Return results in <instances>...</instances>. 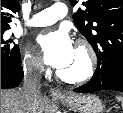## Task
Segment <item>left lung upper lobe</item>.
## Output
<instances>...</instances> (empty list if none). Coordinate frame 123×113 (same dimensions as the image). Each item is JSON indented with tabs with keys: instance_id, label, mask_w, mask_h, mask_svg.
Masks as SVG:
<instances>
[{
	"instance_id": "5c2ea615",
	"label": "left lung upper lobe",
	"mask_w": 123,
	"mask_h": 113,
	"mask_svg": "<svg viewBox=\"0 0 123 113\" xmlns=\"http://www.w3.org/2000/svg\"><path fill=\"white\" fill-rule=\"evenodd\" d=\"M74 6L76 0H70ZM73 20L93 47L99 71H110L114 61L123 59V0H86Z\"/></svg>"
}]
</instances>
